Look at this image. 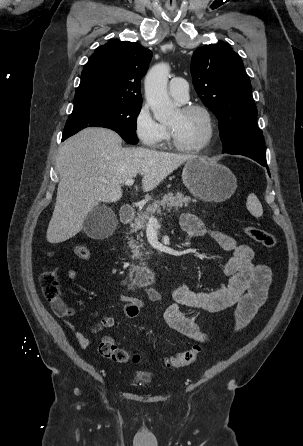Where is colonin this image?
I'll return each instance as SVG.
<instances>
[{
  "label": "colon",
  "instance_id": "colon-1",
  "mask_svg": "<svg viewBox=\"0 0 303 446\" xmlns=\"http://www.w3.org/2000/svg\"><path fill=\"white\" fill-rule=\"evenodd\" d=\"M245 234L254 242L266 247L274 248L276 246V238L269 232L256 227L245 226ZM75 255L83 260H88L91 256L89 248L85 245H77L74 248ZM41 286L46 298L52 303H59L61 299L60 280L58 274L52 270H44L41 274ZM202 345L194 344L184 352L169 356L165 359L167 367H182L194 363L202 352ZM100 355L114 362L123 363L129 359L126 350L119 347L115 340L110 336H105L98 346ZM133 361H139V356L135 355Z\"/></svg>",
  "mask_w": 303,
  "mask_h": 446
}]
</instances>
